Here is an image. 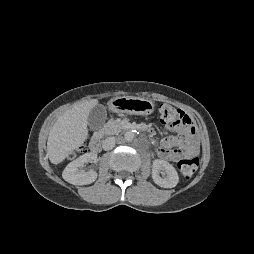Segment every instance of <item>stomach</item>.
Returning a JSON list of instances; mask_svg holds the SVG:
<instances>
[{
  "mask_svg": "<svg viewBox=\"0 0 254 254\" xmlns=\"http://www.w3.org/2000/svg\"><path fill=\"white\" fill-rule=\"evenodd\" d=\"M109 109L115 113L130 115H148L154 111V103L138 97H115L108 103Z\"/></svg>",
  "mask_w": 254,
  "mask_h": 254,
  "instance_id": "obj_1",
  "label": "stomach"
}]
</instances>
